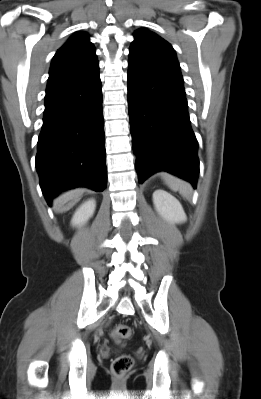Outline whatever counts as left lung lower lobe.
Wrapping results in <instances>:
<instances>
[{
	"instance_id": "obj_1",
	"label": "left lung lower lobe",
	"mask_w": 261,
	"mask_h": 399,
	"mask_svg": "<svg viewBox=\"0 0 261 399\" xmlns=\"http://www.w3.org/2000/svg\"><path fill=\"white\" fill-rule=\"evenodd\" d=\"M128 104L139 183L157 171L189 181L199 174L183 81L128 68Z\"/></svg>"
}]
</instances>
